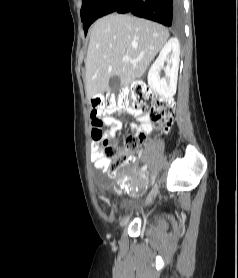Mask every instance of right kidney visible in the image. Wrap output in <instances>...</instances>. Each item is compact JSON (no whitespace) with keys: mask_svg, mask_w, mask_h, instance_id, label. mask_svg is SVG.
I'll return each instance as SVG.
<instances>
[{"mask_svg":"<svg viewBox=\"0 0 238 278\" xmlns=\"http://www.w3.org/2000/svg\"><path fill=\"white\" fill-rule=\"evenodd\" d=\"M180 45L177 38H171L162 48L156 61L148 72L149 87L161 97L172 98L176 93L179 69ZM168 65L164 68V62ZM164 69L166 78H160V71Z\"/></svg>","mask_w":238,"mask_h":278,"instance_id":"obj_1","label":"right kidney"}]
</instances>
